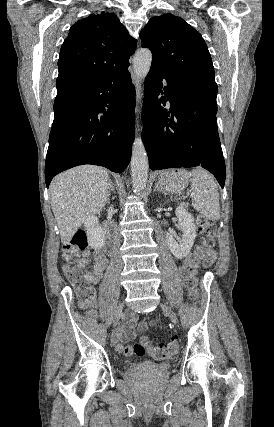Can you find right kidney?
<instances>
[{
  "instance_id": "right-kidney-1",
  "label": "right kidney",
  "mask_w": 274,
  "mask_h": 427,
  "mask_svg": "<svg viewBox=\"0 0 274 427\" xmlns=\"http://www.w3.org/2000/svg\"><path fill=\"white\" fill-rule=\"evenodd\" d=\"M85 227L87 229L88 245L93 249H100L105 243V237L97 215H88L85 219Z\"/></svg>"
}]
</instances>
